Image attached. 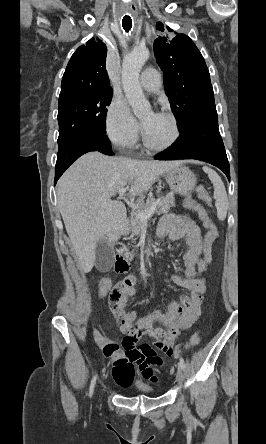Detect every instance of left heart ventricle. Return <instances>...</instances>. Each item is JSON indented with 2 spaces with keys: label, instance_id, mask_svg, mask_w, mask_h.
<instances>
[{
  "label": "left heart ventricle",
  "instance_id": "1",
  "mask_svg": "<svg viewBox=\"0 0 266 444\" xmlns=\"http://www.w3.org/2000/svg\"><path fill=\"white\" fill-rule=\"evenodd\" d=\"M144 130L150 141L158 146L165 145L173 136L171 120L160 113H145L142 118Z\"/></svg>",
  "mask_w": 266,
  "mask_h": 444
}]
</instances>
